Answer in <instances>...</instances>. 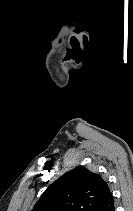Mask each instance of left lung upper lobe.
Here are the masks:
<instances>
[{
	"label": "left lung upper lobe",
	"instance_id": "5c2ea615",
	"mask_svg": "<svg viewBox=\"0 0 133 211\" xmlns=\"http://www.w3.org/2000/svg\"><path fill=\"white\" fill-rule=\"evenodd\" d=\"M110 194L100 175L80 166L53 182L32 211H94Z\"/></svg>",
	"mask_w": 133,
	"mask_h": 211
}]
</instances>
